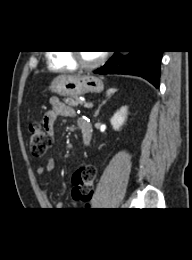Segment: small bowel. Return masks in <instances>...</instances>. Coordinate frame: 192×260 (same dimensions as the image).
<instances>
[{
  "label": "small bowel",
  "instance_id": "small-bowel-1",
  "mask_svg": "<svg viewBox=\"0 0 192 260\" xmlns=\"http://www.w3.org/2000/svg\"><path fill=\"white\" fill-rule=\"evenodd\" d=\"M75 113L71 107L63 103L59 98L57 97H51L49 99V109L45 112L43 116L42 124L45 127V129L50 133L52 136L54 134V124L56 121V118L58 116L61 117H72ZM78 119V123L79 120ZM55 169V161L53 159H48L44 166L39 167L37 169V174L39 176H43L46 173L52 172ZM74 206H78L77 200L73 202ZM58 208H63V203H58Z\"/></svg>",
  "mask_w": 192,
  "mask_h": 260
}]
</instances>
